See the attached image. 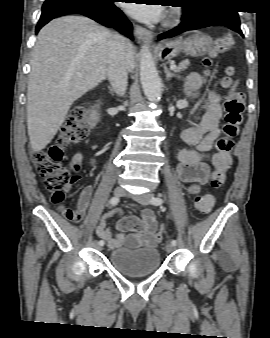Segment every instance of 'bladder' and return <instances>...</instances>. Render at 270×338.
I'll list each match as a JSON object with an SVG mask.
<instances>
[{
  "label": "bladder",
  "instance_id": "obj_1",
  "mask_svg": "<svg viewBox=\"0 0 270 338\" xmlns=\"http://www.w3.org/2000/svg\"><path fill=\"white\" fill-rule=\"evenodd\" d=\"M108 264L126 278H141L160 268L161 257L155 247L131 249L122 245L109 253Z\"/></svg>",
  "mask_w": 270,
  "mask_h": 338
}]
</instances>
